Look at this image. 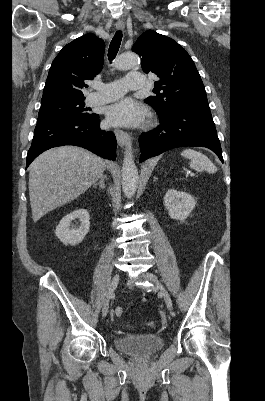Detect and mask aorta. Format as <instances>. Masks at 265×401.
I'll return each mask as SVG.
<instances>
[{
	"label": "aorta",
	"mask_w": 265,
	"mask_h": 401,
	"mask_svg": "<svg viewBox=\"0 0 265 401\" xmlns=\"http://www.w3.org/2000/svg\"><path fill=\"white\" fill-rule=\"evenodd\" d=\"M121 62H118L117 66L119 68H133V66H138L140 64L139 56L133 54V52H123L120 56ZM124 152V160L122 166V188L125 196L131 198L135 194L138 186V168L133 160L131 140L127 144Z\"/></svg>",
	"instance_id": "1"
}]
</instances>
